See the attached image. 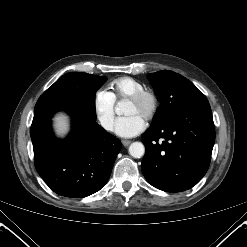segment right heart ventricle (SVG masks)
<instances>
[{"label": "right heart ventricle", "mask_w": 247, "mask_h": 247, "mask_svg": "<svg viewBox=\"0 0 247 247\" xmlns=\"http://www.w3.org/2000/svg\"><path fill=\"white\" fill-rule=\"evenodd\" d=\"M142 89H144L142 82L128 76L119 77L109 84V92L115 101L126 99Z\"/></svg>", "instance_id": "e07e8e85"}]
</instances>
